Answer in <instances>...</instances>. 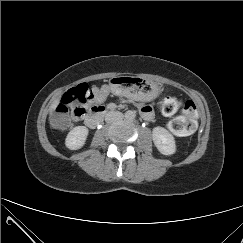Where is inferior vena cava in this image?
Segmentation results:
<instances>
[{
    "mask_svg": "<svg viewBox=\"0 0 243 243\" xmlns=\"http://www.w3.org/2000/svg\"><path fill=\"white\" fill-rule=\"evenodd\" d=\"M123 118V114L121 112H109L105 116V121L107 123H111L113 121L119 120Z\"/></svg>",
    "mask_w": 243,
    "mask_h": 243,
    "instance_id": "obj_1",
    "label": "inferior vena cava"
}]
</instances>
